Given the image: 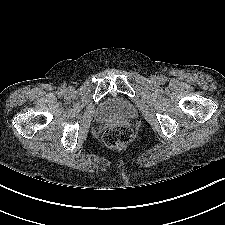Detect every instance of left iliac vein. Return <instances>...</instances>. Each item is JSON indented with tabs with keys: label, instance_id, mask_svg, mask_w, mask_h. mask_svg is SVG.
I'll return each mask as SVG.
<instances>
[{
	"label": "left iliac vein",
	"instance_id": "left-iliac-vein-1",
	"mask_svg": "<svg viewBox=\"0 0 225 225\" xmlns=\"http://www.w3.org/2000/svg\"><path fill=\"white\" fill-rule=\"evenodd\" d=\"M152 79L155 81V80H157V77L156 76H153Z\"/></svg>",
	"mask_w": 225,
	"mask_h": 225
}]
</instances>
